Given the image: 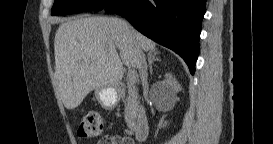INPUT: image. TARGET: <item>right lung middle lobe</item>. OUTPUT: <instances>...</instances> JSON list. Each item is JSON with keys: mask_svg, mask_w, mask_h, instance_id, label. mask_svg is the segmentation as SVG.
Listing matches in <instances>:
<instances>
[{"mask_svg": "<svg viewBox=\"0 0 273 144\" xmlns=\"http://www.w3.org/2000/svg\"><path fill=\"white\" fill-rule=\"evenodd\" d=\"M112 0H95V3H87V0H55L51 15H66L83 12L87 9L95 11L103 9Z\"/></svg>", "mask_w": 273, "mask_h": 144, "instance_id": "dd1d6c3e", "label": "right lung middle lobe"}]
</instances>
